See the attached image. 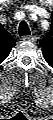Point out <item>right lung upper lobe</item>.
<instances>
[{"mask_svg":"<svg viewBox=\"0 0 53 120\" xmlns=\"http://www.w3.org/2000/svg\"><path fill=\"white\" fill-rule=\"evenodd\" d=\"M16 45L15 39L3 27L0 29V63L9 55L10 50Z\"/></svg>","mask_w":53,"mask_h":120,"instance_id":"1","label":"right lung upper lobe"}]
</instances>
